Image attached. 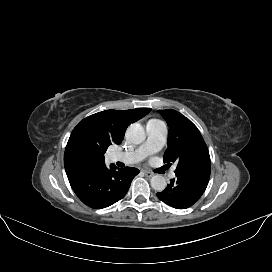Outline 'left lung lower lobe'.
I'll return each instance as SVG.
<instances>
[{
	"label": "left lung lower lobe",
	"instance_id": "0a47b994",
	"mask_svg": "<svg viewBox=\"0 0 272 272\" xmlns=\"http://www.w3.org/2000/svg\"><path fill=\"white\" fill-rule=\"evenodd\" d=\"M209 178L210 171L178 173L175 179L170 180L165 190L157 193V196L174 208L186 209L202 196Z\"/></svg>",
	"mask_w": 272,
	"mask_h": 272
}]
</instances>
